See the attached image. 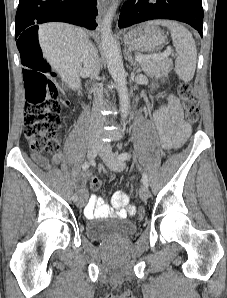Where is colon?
Segmentation results:
<instances>
[{
  "mask_svg": "<svg viewBox=\"0 0 227 298\" xmlns=\"http://www.w3.org/2000/svg\"><path fill=\"white\" fill-rule=\"evenodd\" d=\"M47 65L38 54L25 58V114L24 135L31 149L37 153H56L59 140L56 127L59 123L61 104L58 101V90L55 83L45 75ZM178 93L185 109L186 120L195 124L199 120V104L192 86L188 82L178 84ZM91 187L98 190L101 181L94 178ZM140 217H145V209L141 208Z\"/></svg>",
  "mask_w": 227,
  "mask_h": 298,
  "instance_id": "1",
  "label": "colon"
}]
</instances>
